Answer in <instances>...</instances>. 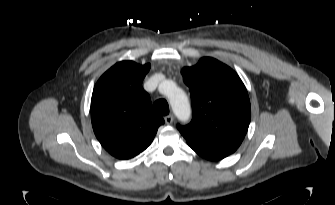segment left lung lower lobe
I'll use <instances>...</instances> for the list:
<instances>
[{
  "mask_svg": "<svg viewBox=\"0 0 335 205\" xmlns=\"http://www.w3.org/2000/svg\"><path fill=\"white\" fill-rule=\"evenodd\" d=\"M188 145L195 151L197 152L200 156L208 159V160H220L223 159L225 157H227L229 154L227 153H221V152H214V151H209V150H205V149H201L193 144H189Z\"/></svg>",
  "mask_w": 335,
  "mask_h": 205,
  "instance_id": "obj_1",
  "label": "left lung lower lobe"
}]
</instances>
